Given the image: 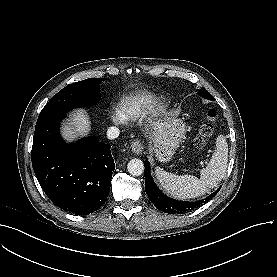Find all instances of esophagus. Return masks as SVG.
<instances>
[{
    "mask_svg": "<svg viewBox=\"0 0 277 277\" xmlns=\"http://www.w3.org/2000/svg\"><path fill=\"white\" fill-rule=\"evenodd\" d=\"M131 149L136 155H140L143 151V144L141 140L136 139L131 143Z\"/></svg>",
    "mask_w": 277,
    "mask_h": 277,
    "instance_id": "1",
    "label": "esophagus"
}]
</instances>
